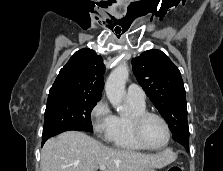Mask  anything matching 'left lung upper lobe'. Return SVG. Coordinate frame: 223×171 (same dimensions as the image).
I'll list each match as a JSON object with an SVG mask.
<instances>
[{
  "mask_svg": "<svg viewBox=\"0 0 223 171\" xmlns=\"http://www.w3.org/2000/svg\"><path fill=\"white\" fill-rule=\"evenodd\" d=\"M134 74L172 131V138L189 148L185 89L179 69L162 51L147 50L132 60Z\"/></svg>",
  "mask_w": 223,
  "mask_h": 171,
  "instance_id": "1",
  "label": "left lung upper lobe"
}]
</instances>
